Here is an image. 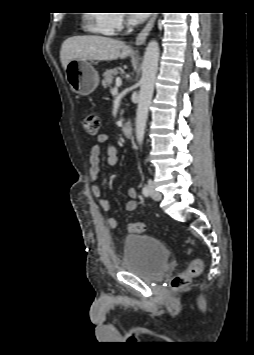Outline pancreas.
<instances>
[{
	"mask_svg": "<svg viewBox=\"0 0 254 355\" xmlns=\"http://www.w3.org/2000/svg\"><path fill=\"white\" fill-rule=\"evenodd\" d=\"M118 70L116 68L106 70L103 73L104 79L102 80L103 87H109L113 83L114 76L117 75Z\"/></svg>",
	"mask_w": 254,
	"mask_h": 355,
	"instance_id": "obj_1",
	"label": "pancreas"
}]
</instances>
